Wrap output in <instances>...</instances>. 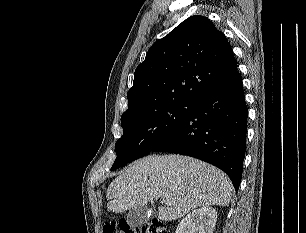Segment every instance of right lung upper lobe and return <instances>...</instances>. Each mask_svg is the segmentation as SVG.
<instances>
[{
    "instance_id": "1",
    "label": "right lung upper lobe",
    "mask_w": 306,
    "mask_h": 233,
    "mask_svg": "<svg viewBox=\"0 0 306 233\" xmlns=\"http://www.w3.org/2000/svg\"><path fill=\"white\" fill-rule=\"evenodd\" d=\"M240 77L224 34L208 18L191 16L150 47L135 70L125 113L163 99L199 104Z\"/></svg>"
}]
</instances>
